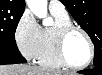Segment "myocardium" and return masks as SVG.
Returning a JSON list of instances; mask_svg holds the SVG:
<instances>
[{"mask_svg":"<svg viewBox=\"0 0 102 75\" xmlns=\"http://www.w3.org/2000/svg\"><path fill=\"white\" fill-rule=\"evenodd\" d=\"M74 31H79L85 36V38L89 44V49H90L88 60L84 64L79 65V66L74 65L70 61V59L68 58V56L66 54V49H65L66 40L70 36V34L73 33ZM54 46H55L56 56H57L58 60L64 66L74 67V68H83V67L87 66L94 57V44H93V41H92L90 35L81 26L76 25L74 23L66 24V25L57 29V31L55 33Z\"/></svg>","mask_w":102,"mask_h":75,"instance_id":"myocardium-1","label":"myocardium"}]
</instances>
